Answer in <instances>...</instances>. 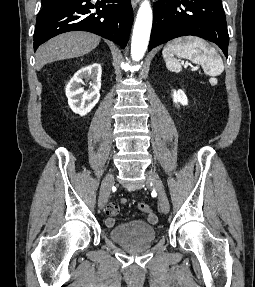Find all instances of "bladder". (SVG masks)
<instances>
[{
	"mask_svg": "<svg viewBox=\"0 0 255 287\" xmlns=\"http://www.w3.org/2000/svg\"><path fill=\"white\" fill-rule=\"evenodd\" d=\"M108 237L121 244H144L153 242L157 229L144 221L135 220L114 226L107 230Z\"/></svg>",
	"mask_w": 255,
	"mask_h": 287,
	"instance_id": "bladder-1",
	"label": "bladder"
}]
</instances>
